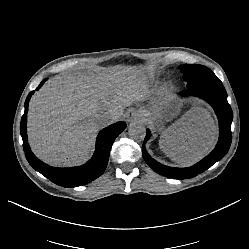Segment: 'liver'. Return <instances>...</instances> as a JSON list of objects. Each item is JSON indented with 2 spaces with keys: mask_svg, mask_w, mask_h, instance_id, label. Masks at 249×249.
Wrapping results in <instances>:
<instances>
[{
  "mask_svg": "<svg viewBox=\"0 0 249 249\" xmlns=\"http://www.w3.org/2000/svg\"><path fill=\"white\" fill-rule=\"evenodd\" d=\"M142 72L116 67L95 74L56 76L48 80L31 99L28 112L30 144L38 157L52 165H75L87 159L99 126L98 117L111 115L118 121L124 109L148 99ZM162 100L152 108L142 105L135 111L138 120L156 130ZM217 127L209 110L193 107L160 137L174 161L188 165L211 150Z\"/></svg>",
  "mask_w": 249,
  "mask_h": 249,
  "instance_id": "1",
  "label": "liver"
}]
</instances>
